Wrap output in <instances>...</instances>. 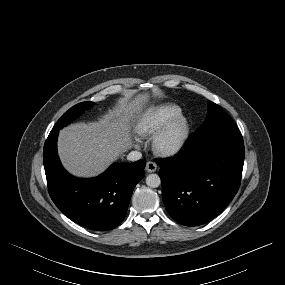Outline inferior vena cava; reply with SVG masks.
I'll list each match as a JSON object with an SVG mask.
<instances>
[{
  "label": "inferior vena cava",
  "instance_id": "1",
  "mask_svg": "<svg viewBox=\"0 0 285 285\" xmlns=\"http://www.w3.org/2000/svg\"><path fill=\"white\" fill-rule=\"evenodd\" d=\"M142 154L139 151H131L128 156L127 159L129 161H137L139 159H141Z\"/></svg>",
  "mask_w": 285,
  "mask_h": 285
}]
</instances>
